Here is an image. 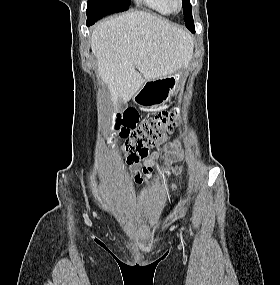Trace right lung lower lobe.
<instances>
[{
	"instance_id": "98d812e1",
	"label": "right lung lower lobe",
	"mask_w": 280,
	"mask_h": 285,
	"mask_svg": "<svg viewBox=\"0 0 280 285\" xmlns=\"http://www.w3.org/2000/svg\"><path fill=\"white\" fill-rule=\"evenodd\" d=\"M86 24H87V26H90V25H91V24H89V23H87V22H86ZM92 25H93V24H92Z\"/></svg>"
}]
</instances>
